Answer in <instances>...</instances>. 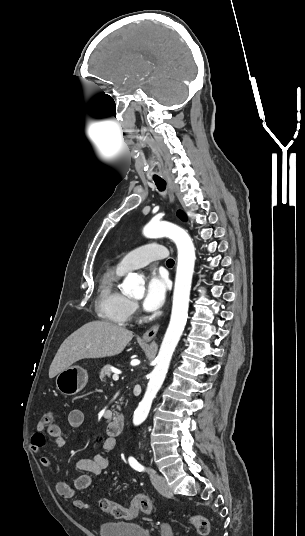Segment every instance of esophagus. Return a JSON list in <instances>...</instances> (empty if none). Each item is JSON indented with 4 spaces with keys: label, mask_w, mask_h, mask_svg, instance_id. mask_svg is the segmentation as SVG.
<instances>
[{
    "label": "esophagus",
    "mask_w": 305,
    "mask_h": 536,
    "mask_svg": "<svg viewBox=\"0 0 305 536\" xmlns=\"http://www.w3.org/2000/svg\"><path fill=\"white\" fill-rule=\"evenodd\" d=\"M163 177L165 178L167 182V189H168L170 201L174 203L175 196H174V186H173L172 178L169 177V175H163ZM159 326H160L159 324H156L152 326L151 328H149V330H147L143 335V341L144 342L151 341L156 336L159 330Z\"/></svg>",
    "instance_id": "esophagus-1"
}]
</instances>
